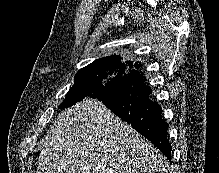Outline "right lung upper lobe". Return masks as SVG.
I'll return each mask as SVG.
<instances>
[{"label":"right lung upper lobe","mask_w":219,"mask_h":173,"mask_svg":"<svg viewBox=\"0 0 219 173\" xmlns=\"http://www.w3.org/2000/svg\"><path fill=\"white\" fill-rule=\"evenodd\" d=\"M113 61H118L120 63L123 64H127L131 67L135 66L136 68L142 67V65L139 62H136L135 64H133V61H127V62H123L121 57L118 55H112L110 57H105L102 59H97L95 60L93 63L89 64L88 66H98V65H103L107 62H113Z\"/></svg>","instance_id":"right-lung-upper-lobe-1"}]
</instances>
